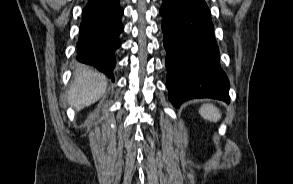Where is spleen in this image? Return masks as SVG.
Listing matches in <instances>:
<instances>
[{
  "mask_svg": "<svg viewBox=\"0 0 293 184\" xmlns=\"http://www.w3.org/2000/svg\"><path fill=\"white\" fill-rule=\"evenodd\" d=\"M200 115L209 121L217 122L221 118V113L217 107L212 104H204L199 109Z\"/></svg>",
  "mask_w": 293,
  "mask_h": 184,
  "instance_id": "1",
  "label": "spleen"
}]
</instances>
